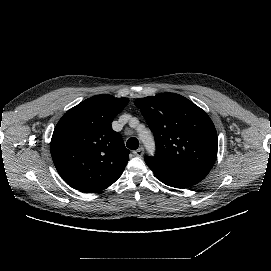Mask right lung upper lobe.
I'll return each instance as SVG.
<instances>
[{
	"instance_id": "1",
	"label": "right lung upper lobe",
	"mask_w": 271,
	"mask_h": 271,
	"mask_svg": "<svg viewBox=\"0 0 271 271\" xmlns=\"http://www.w3.org/2000/svg\"><path fill=\"white\" fill-rule=\"evenodd\" d=\"M127 98L97 95L68 110L56 125L51 155L62 179L81 192L94 193L112 185L129 160L113 119Z\"/></svg>"
}]
</instances>
